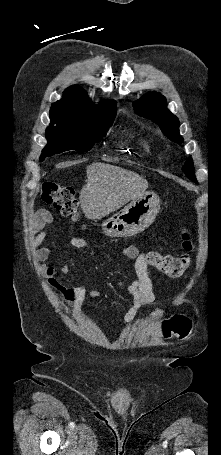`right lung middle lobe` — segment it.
Returning a JSON list of instances; mask_svg holds the SVG:
<instances>
[{
	"label": "right lung middle lobe",
	"instance_id": "dd1d6c3e",
	"mask_svg": "<svg viewBox=\"0 0 221 455\" xmlns=\"http://www.w3.org/2000/svg\"><path fill=\"white\" fill-rule=\"evenodd\" d=\"M116 111V109L108 110L84 121L50 117L51 123L46 129L48 144L40 160L43 161L47 156L68 150L79 153L89 151L106 135V129L113 123Z\"/></svg>",
	"mask_w": 221,
	"mask_h": 455
}]
</instances>
